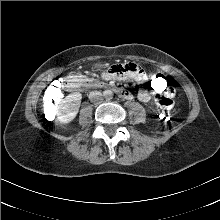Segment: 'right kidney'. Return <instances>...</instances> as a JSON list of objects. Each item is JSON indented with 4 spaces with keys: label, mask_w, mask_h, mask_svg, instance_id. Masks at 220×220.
I'll return each instance as SVG.
<instances>
[{
    "label": "right kidney",
    "mask_w": 220,
    "mask_h": 220,
    "mask_svg": "<svg viewBox=\"0 0 220 220\" xmlns=\"http://www.w3.org/2000/svg\"><path fill=\"white\" fill-rule=\"evenodd\" d=\"M82 95L75 92L66 96L57 110V120L62 124L70 123L77 115Z\"/></svg>",
    "instance_id": "ca27d5eb"
}]
</instances>
